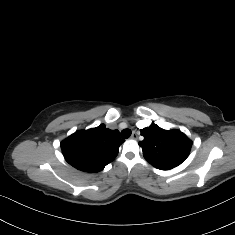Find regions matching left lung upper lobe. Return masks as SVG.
I'll list each match as a JSON object with an SVG mask.
<instances>
[{"instance_id":"left-lung-upper-lobe-1","label":"left lung upper lobe","mask_w":235,"mask_h":235,"mask_svg":"<svg viewBox=\"0 0 235 235\" xmlns=\"http://www.w3.org/2000/svg\"><path fill=\"white\" fill-rule=\"evenodd\" d=\"M139 142L145 159L161 170L180 165L189 155L192 141L179 130H164L156 124L141 130Z\"/></svg>"}]
</instances>
